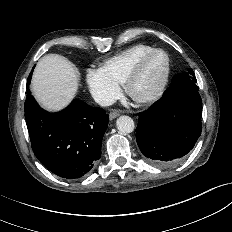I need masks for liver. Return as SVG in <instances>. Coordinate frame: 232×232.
Here are the masks:
<instances>
[{
	"instance_id": "obj_1",
	"label": "liver",
	"mask_w": 232,
	"mask_h": 232,
	"mask_svg": "<svg viewBox=\"0 0 232 232\" xmlns=\"http://www.w3.org/2000/svg\"><path fill=\"white\" fill-rule=\"evenodd\" d=\"M78 77L69 60L58 54H48L37 63L31 88L42 107L59 111L74 98L79 86Z\"/></svg>"
}]
</instances>
